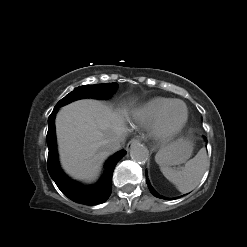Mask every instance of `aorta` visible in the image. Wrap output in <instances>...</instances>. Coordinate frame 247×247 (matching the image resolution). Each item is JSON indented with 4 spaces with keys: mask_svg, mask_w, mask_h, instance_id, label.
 <instances>
[{
    "mask_svg": "<svg viewBox=\"0 0 247 247\" xmlns=\"http://www.w3.org/2000/svg\"><path fill=\"white\" fill-rule=\"evenodd\" d=\"M130 156L134 162L145 163L148 160V151L141 144H135L130 149Z\"/></svg>",
    "mask_w": 247,
    "mask_h": 247,
    "instance_id": "762f6f07",
    "label": "aorta"
}]
</instances>
